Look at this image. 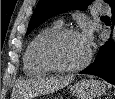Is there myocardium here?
<instances>
[{
    "instance_id": "myocardium-1",
    "label": "myocardium",
    "mask_w": 115,
    "mask_h": 99,
    "mask_svg": "<svg viewBox=\"0 0 115 99\" xmlns=\"http://www.w3.org/2000/svg\"><path fill=\"white\" fill-rule=\"evenodd\" d=\"M71 35H81L79 31L72 28H60L51 34H49L41 43L39 47V56L41 61L47 66L51 71L55 72H76L85 68L91 61L92 53L91 49L88 48L86 58L79 64L75 66H64L59 64L53 56V47L61 39L71 36Z\"/></svg>"
}]
</instances>
